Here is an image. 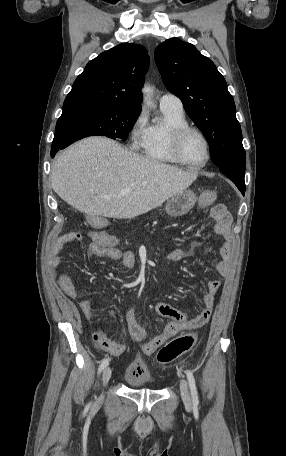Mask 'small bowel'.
<instances>
[{"label":"small bowel","mask_w":286,"mask_h":456,"mask_svg":"<svg viewBox=\"0 0 286 456\" xmlns=\"http://www.w3.org/2000/svg\"><path fill=\"white\" fill-rule=\"evenodd\" d=\"M212 216L216 220V233L223 238L220 248V260L216 262L215 269L222 276H228L231 271L233 260L231 217L223 204H216L212 208ZM73 233L65 234L58 238L54 244L50 256V265L56 267L60 264L61 253L65 247L73 242L79 241L73 237ZM88 250L95 257L113 261H121L127 268H134L136 256L132 251L118 248L119 240L106 232L91 231L88 233ZM189 256V252L181 249L170 250L166 258L171 261H181ZM59 285L67 297L73 300L79 299L77 287L68 271L62 270L58 275ZM221 287V281L210 280L207 283V293L202 297L203 310L195 316H188L186 313L173 306L157 302L155 311L158 315L168 318L166 326L155 334H149L136 320L133 307L128 303L124 309V319L127 330L131 337L142 342V352L146 355L154 353L168 339L184 330L197 329L204 326L210 319L214 306L215 295ZM78 307L85 319H92V298L85 297L78 300ZM96 331L93 333V340L106 352L114 356H120L125 351V345L115 342L110 338L108 331L103 327L99 317L94 319Z\"/></svg>","instance_id":"c3829d8e"}]
</instances>
